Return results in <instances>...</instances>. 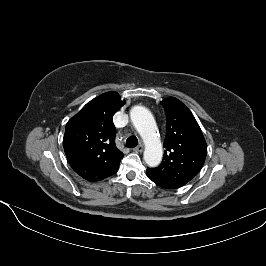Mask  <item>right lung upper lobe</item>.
Here are the masks:
<instances>
[{
    "instance_id": "obj_1",
    "label": "right lung upper lobe",
    "mask_w": 266,
    "mask_h": 266,
    "mask_svg": "<svg viewBox=\"0 0 266 266\" xmlns=\"http://www.w3.org/2000/svg\"><path fill=\"white\" fill-rule=\"evenodd\" d=\"M124 103L117 92L104 93L88 102L66 125V157L73 170L87 181L105 179L119 168L124 155L115 145L112 117Z\"/></svg>"
}]
</instances>
